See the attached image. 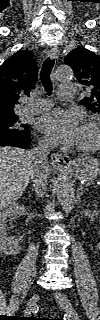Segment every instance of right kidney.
<instances>
[{"instance_id": "1", "label": "right kidney", "mask_w": 100, "mask_h": 320, "mask_svg": "<svg viewBox=\"0 0 100 320\" xmlns=\"http://www.w3.org/2000/svg\"><path fill=\"white\" fill-rule=\"evenodd\" d=\"M26 212L23 205H18L15 202L0 212V248L7 255L19 253L20 237H8V220L16 219L18 214Z\"/></svg>"}]
</instances>
